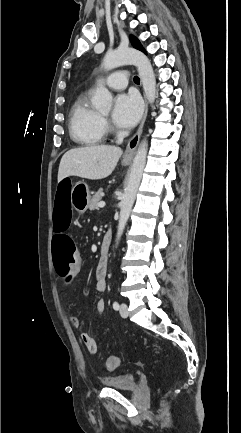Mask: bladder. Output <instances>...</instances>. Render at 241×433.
Listing matches in <instances>:
<instances>
[{
	"label": "bladder",
	"instance_id": "1",
	"mask_svg": "<svg viewBox=\"0 0 241 433\" xmlns=\"http://www.w3.org/2000/svg\"><path fill=\"white\" fill-rule=\"evenodd\" d=\"M101 383L109 388L122 391H132L137 388L138 378L134 373H121L118 375L105 376Z\"/></svg>",
	"mask_w": 241,
	"mask_h": 433
}]
</instances>
